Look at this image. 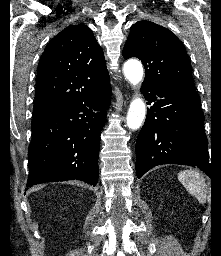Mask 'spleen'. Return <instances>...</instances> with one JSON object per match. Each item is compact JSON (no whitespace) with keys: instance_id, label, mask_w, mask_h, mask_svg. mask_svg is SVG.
<instances>
[{"instance_id":"3e777b00","label":"spleen","mask_w":221,"mask_h":256,"mask_svg":"<svg viewBox=\"0 0 221 256\" xmlns=\"http://www.w3.org/2000/svg\"><path fill=\"white\" fill-rule=\"evenodd\" d=\"M178 179L186 190L195 196L200 203L206 202L207 185L202 175L193 170H185L178 174Z\"/></svg>"}]
</instances>
